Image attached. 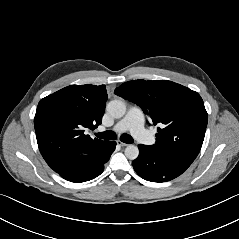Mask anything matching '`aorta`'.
<instances>
[{"instance_id": "obj_1", "label": "aorta", "mask_w": 239, "mask_h": 239, "mask_svg": "<svg viewBox=\"0 0 239 239\" xmlns=\"http://www.w3.org/2000/svg\"><path fill=\"white\" fill-rule=\"evenodd\" d=\"M106 109L110 116L114 118H121L125 115L126 105L120 100H112L107 104ZM138 155L139 149L137 146L130 144L125 148V156L128 159L134 160L138 157Z\"/></svg>"}]
</instances>
